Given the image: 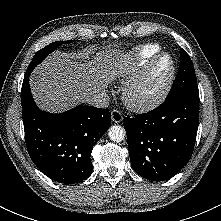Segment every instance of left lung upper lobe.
Segmentation results:
<instances>
[{
    "label": "left lung upper lobe",
    "instance_id": "left-lung-upper-lobe-1",
    "mask_svg": "<svg viewBox=\"0 0 221 221\" xmlns=\"http://www.w3.org/2000/svg\"><path fill=\"white\" fill-rule=\"evenodd\" d=\"M193 63L185 50L180 49V67L167 98L184 93H198Z\"/></svg>",
    "mask_w": 221,
    "mask_h": 221
}]
</instances>
